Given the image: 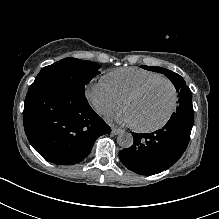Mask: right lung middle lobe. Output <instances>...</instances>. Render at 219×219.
Here are the masks:
<instances>
[{
    "label": "right lung middle lobe",
    "mask_w": 219,
    "mask_h": 219,
    "mask_svg": "<svg viewBox=\"0 0 219 219\" xmlns=\"http://www.w3.org/2000/svg\"><path fill=\"white\" fill-rule=\"evenodd\" d=\"M99 68V65L91 61L65 58L42 68L30 87L39 84L56 85L85 96V85L100 74Z\"/></svg>",
    "instance_id": "obj_1"
}]
</instances>
